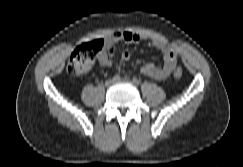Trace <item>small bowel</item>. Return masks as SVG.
<instances>
[{"label": "small bowel", "instance_id": "1", "mask_svg": "<svg viewBox=\"0 0 243 167\" xmlns=\"http://www.w3.org/2000/svg\"><path fill=\"white\" fill-rule=\"evenodd\" d=\"M144 38L131 31H118L113 36L105 40L104 49L98 55V63L101 67L107 68L113 64L114 58L118 55L121 60L128 61L131 53L128 47L138 43ZM122 43L125 47L119 51L115 45ZM151 44L163 53L164 63L158 66L154 63H147L141 68V73L156 80H164L170 76L177 66V53L167 42L162 40H152Z\"/></svg>", "mask_w": 243, "mask_h": 167}]
</instances>
